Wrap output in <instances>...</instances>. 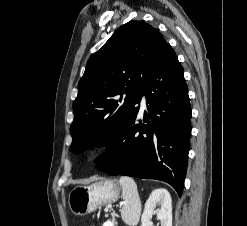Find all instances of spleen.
<instances>
[{
	"label": "spleen",
	"instance_id": "spleen-1",
	"mask_svg": "<svg viewBox=\"0 0 247 226\" xmlns=\"http://www.w3.org/2000/svg\"><path fill=\"white\" fill-rule=\"evenodd\" d=\"M119 183L122 187V197L124 200V206L121 209L122 219L125 223L134 225L138 221L141 210L137 185L132 178L126 176L121 177Z\"/></svg>",
	"mask_w": 247,
	"mask_h": 226
}]
</instances>
